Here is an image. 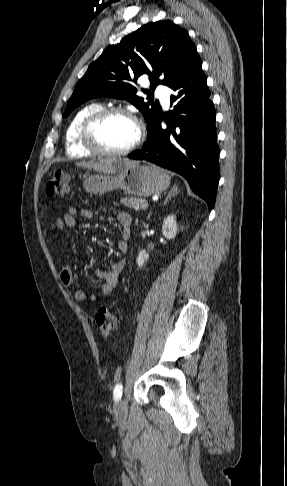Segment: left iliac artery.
Returning a JSON list of instances; mask_svg holds the SVG:
<instances>
[{
    "mask_svg": "<svg viewBox=\"0 0 287 486\" xmlns=\"http://www.w3.org/2000/svg\"><path fill=\"white\" fill-rule=\"evenodd\" d=\"M122 388H123V386H122L121 383H119V384H117L115 386L114 391H113V396H114V400L115 401H118V400L121 399V396H122Z\"/></svg>",
    "mask_w": 287,
    "mask_h": 486,
    "instance_id": "1",
    "label": "left iliac artery"
}]
</instances>
